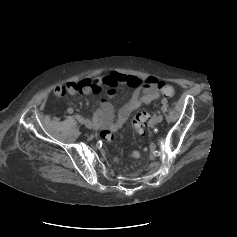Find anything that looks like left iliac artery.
Returning a JSON list of instances; mask_svg holds the SVG:
<instances>
[{
  "mask_svg": "<svg viewBox=\"0 0 237 237\" xmlns=\"http://www.w3.org/2000/svg\"><path fill=\"white\" fill-rule=\"evenodd\" d=\"M161 102H162V104H167V99L166 98H163L162 100H161Z\"/></svg>",
  "mask_w": 237,
  "mask_h": 237,
  "instance_id": "1",
  "label": "left iliac artery"
}]
</instances>
